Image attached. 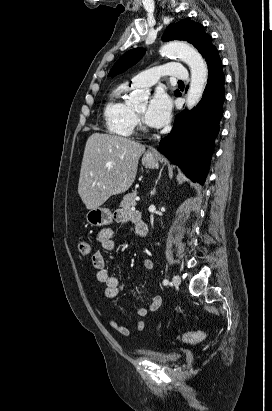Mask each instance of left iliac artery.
Returning <instances> with one entry per match:
<instances>
[{"mask_svg":"<svg viewBox=\"0 0 272 411\" xmlns=\"http://www.w3.org/2000/svg\"><path fill=\"white\" fill-rule=\"evenodd\" d=\"M163 284H164V285H168V284H169V281H168L167 279H165V280L163 281Z\"/></svg>","mask_w":272,"mask_h":411,"instance_id":"left-iliac-artery-1","label":"left iliac artery"}]
</instances>
